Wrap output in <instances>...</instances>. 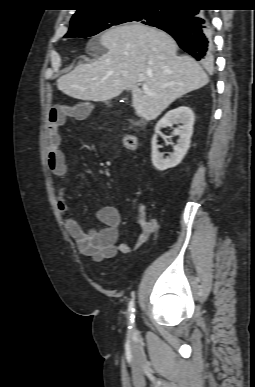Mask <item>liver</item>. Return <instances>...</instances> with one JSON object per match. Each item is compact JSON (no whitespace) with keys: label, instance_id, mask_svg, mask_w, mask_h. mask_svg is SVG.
I'll use <instances>...</instances> for the list:
<instances>
[{"label":"liver","instance_id":"6515ba94","mask_svg":"<svg viewBox=\"0 0 255 387\" xmlns=\"http://www.w3.org/2000/svg\"><path fill=\"white\" fill-rule=\"evenodd\" d=\"M100 44L107 49L105 54L91 63L79 64L57 80L61 92L101 102L128 90L135 114L150 121L176 99L209 81L193 58L177 55L174 39L159 29L140 23L114 27L101 36ZM140 82L152 95L139 87Z\"/></svg>","mask_w":255,"mask_h":387}]
</instances>
